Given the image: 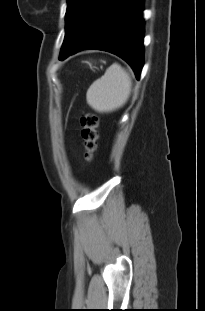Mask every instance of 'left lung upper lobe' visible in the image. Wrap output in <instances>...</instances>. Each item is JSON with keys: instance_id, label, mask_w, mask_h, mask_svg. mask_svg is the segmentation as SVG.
<instances>
[{"instance_id": "5c2ea615", "label": "left lung upper lobe", "mask_w": 205, "mask_h": 311, "mask_svg": "<svg viewBox=\"0 0 205 311\" xmlns=\"http://www.w3.org/2000/svg\"><path fill=\"white\" fill-rule=\"evenodd\" d=\"M118 0H67L61 54L77 46L107 16Z\"/></svg>"}]
</instances>
